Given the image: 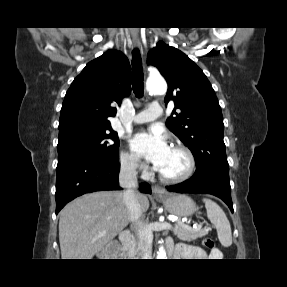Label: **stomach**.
Here are the masks:
<instances>
[{"label": "stomach", "instance_id": "0dacf381", "mask_svg": "<svg viewBox=\"0 0 287 287\" xmlns=\"http://www.w3.org/2000/svg\"><path fill=\"white\" fill-rule=\"evenodd\" d=\"M165 208L178 217H188L197 210L195 202L185 194L167 193L160 196Z\"/></svg>", "mask_w": 287, "mask_h": 287}]
</instances>
